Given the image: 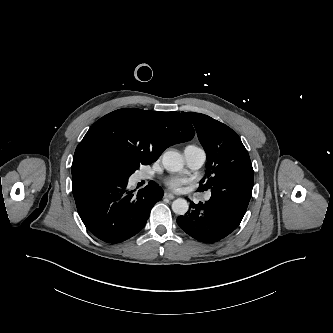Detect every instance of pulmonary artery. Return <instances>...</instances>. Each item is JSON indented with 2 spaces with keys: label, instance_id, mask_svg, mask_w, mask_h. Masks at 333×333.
<instances>
[{
  "label": "pulmonary artery",
  "instance_id": "e3ab8cb5",
  "mask_svg": "<svg viewBox=\"0 0 333 333\" xmlns=\"http://www.w3.org/2000/svg\"><path fill=\"white\" fill-rule=\"evenodd\" d=\"M184 156L185 160L187 162V165L191 169H199L206 160V153L202 148L196 147V146H187L184 149ZM138 180H146L150 177L146 174H139ZM211 194L206 195V199H209Z\"/></svg>",
  "mask_w": 333,
  "mask_h": 333
}]
</instances>
